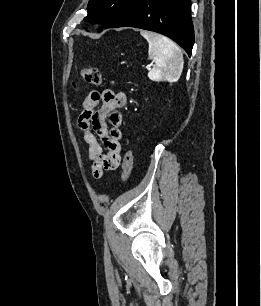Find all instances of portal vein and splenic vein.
Listing matches in <instances>:
<instances>
[{"mask_svg":"<svg viewBox=\"0 0 261 306\" xmlns=\"http://www.w3.org/2000/svg\"><path fill=\"white\" fill-rule=\"evenodd\" d=\"M151 66H152V64H148L146 67H147V69H150Z\"/></svg>","mask_w":261,"mask_h":306,"instance_id":"obj_1","label":"portal vein and splenic vein"}]
</instances>
